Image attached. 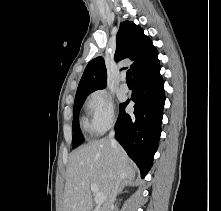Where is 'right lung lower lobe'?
Returning a JSON list of instances; mask_svg holds the SVG:
<instances>
[{"mask_svg":"<svg viewBox=\"0 0 221 211\" xmlns=\"http://www.w3.org/2000/svg\"><path fill=\"white\" fill-rule=\"evenodd\" d=\"M160 64L134 77V115L130 117L124 108L129 100L120 104L115 125V138L129 157L137 164L144 177L153 163L158 148L163 108L165 103L164 81Z\"/></svg>","mask_w":221,"mask_h":211,"instance_id":"obj_1","label":"right lung lower lobe"}]
</instances>
